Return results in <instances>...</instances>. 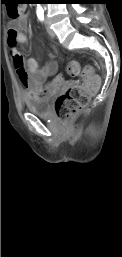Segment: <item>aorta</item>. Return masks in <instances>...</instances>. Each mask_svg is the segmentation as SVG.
<instances>
[{
    "instance_id": "1",
    "label": "aorta",
    "mask_w": 122,
    "mask_h": 257,
    "mask_svg": "<svg viewBox=\"0 0 122 257\" xmlns=\"http://www.w3.org/2000/svg\"><path fill=\"white\" fill-rule=\"evenodd\" d=\"M42 11H43V9L41 7V4H37V12H42Z\"/></svg>"
}]
</instances>
